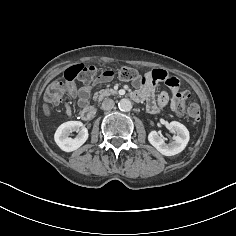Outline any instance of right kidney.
<instances>
[{"instance_id":"right-kidney-1","label":"right kidney","mask_w":236,"mask_h":236,"mask_svg":"<svg viewBox=\"0 0 236 236\" xmlns=\"http://www.w3.org/2000/svg\"><path fill=\"white\" fill-rule=\"evenodd\" d=\"M77 132L75 138L69 137L72 132ZM88 139V130L80 121H68L61 124L54 135V140L61 150L72 152L80 148Z\"/></svg>"}]
</instances>
